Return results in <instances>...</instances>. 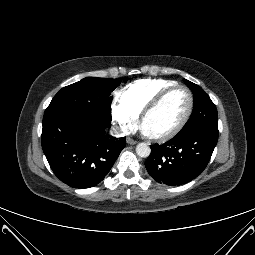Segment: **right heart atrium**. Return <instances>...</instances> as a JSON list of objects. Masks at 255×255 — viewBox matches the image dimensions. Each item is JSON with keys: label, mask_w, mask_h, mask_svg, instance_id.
Returning a JSON list of instances; mask_svg holds the SVG:
<instances>
[{"label": "right heart atrium", "mask_w": 255, "mask_h": 255, "mask_svg": "<svg viewBox=\"0 0 255 255\" xmlns=\"http://www.w3.org/2000/svg\"><path fill=\"white\" fill-rule=\"evenodd\" d=\"M110 111L114 124L122 134H128L137 127L139 114L121 98H117L111 103Z\"/></svg>", "instance_id": "d8ad5b80"}]
</instances>
